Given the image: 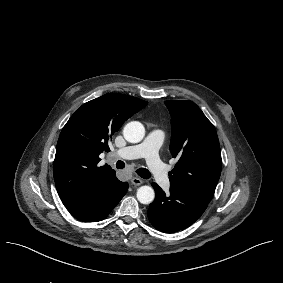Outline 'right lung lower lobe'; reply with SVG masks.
I'll list each match as a JSON object with an SVG mask.
<instances>
[{"mask_svg": "<svg viewBox=\"0 0 283 283\" xmlns=\"http://www.w3.org/2000/svg\"><path fill=\"white\" fill-rule=\"evenodd\" d=\"M127 190L128 183L119 181L115 176L110 186L99 190L91 198L66 208L81 221H101L108 216Z\"/></svg>", "mask_w": 283, "mask_h": 283, "instance_id": "obj_1", "label": "right lung lower lobe"}]
</instances>
